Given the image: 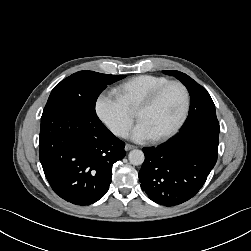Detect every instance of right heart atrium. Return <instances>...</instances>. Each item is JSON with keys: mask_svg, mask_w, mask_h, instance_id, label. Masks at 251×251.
<instances>
[{"mask_svg": "<svg viewBox=\"0 0 251 251\" xmlns=\"http://www.w3.org/2000/svg\"><path fill=\"white\" fill-rule=\"evenodd\" d=\"M100 121L116 136H124L133 122V113L114 90H103L95 100Z\"/></svg>", "mask_w": 251, "mask_h": 251, "instance_id": "1", "label": "right heart atrium"}]
</instances>
